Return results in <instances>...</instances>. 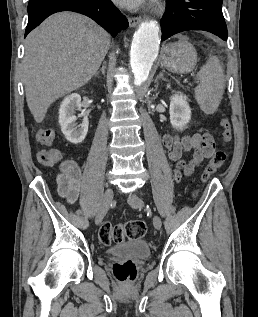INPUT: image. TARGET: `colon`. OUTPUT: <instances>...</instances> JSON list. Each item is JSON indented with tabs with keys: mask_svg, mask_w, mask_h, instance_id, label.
<instances>
[{
	"mask_svg": "<svg viewBox=\"0 0 258 317\" xmlns=\"http://www.w3.org/2000/svg\"><path fill=\"white\" fill-rule=\"evenodd\" d=\"M222 129V138L229 142L232 137L231 125L227 119L220 122ZM61 155L56 149H42L37 152L38 161L47 166L56 164ZM227 154L223 150H216L211 157L203 173V180L206 181L214 174L226 161ZM146 234V225L137 220L128 221L124 224H112L104 222L99 228V240L105 245L120 243L125 239L137 240ZM117 280L128 282L134 280L137 275V267L132 261L115 262L112 267Z\"/></svg>",
	"mask_w": 258,
	"mask_h": 317,
	"instance_id": "1",
	"label": "colon"
}]
</instances>
